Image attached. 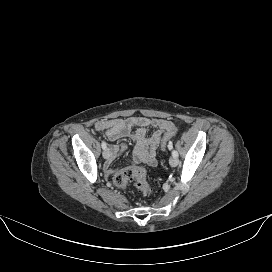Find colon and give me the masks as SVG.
<instances>
[{"mask_svg":"<svg viewBox=\"0 0 272 272\" xmlns=\"http://www.w3.org/2000/svg\"><path fill=\"white\" fill-rule=\"evenodd\" d=\"M177 131L178 128L173 126L164 134L160 144L161 150H165L170 146ZM132 181H134L138 189L143 192H149L151 190L147 182L145 169L137 165H130L119 170L113 178L114 184L119 188H126Z\"/></svg>","mask_w":272,"mask_h":272,"instance_id":"5ec220e1","label":"colon"}]
</instances>
